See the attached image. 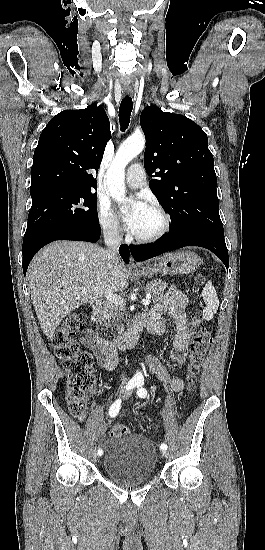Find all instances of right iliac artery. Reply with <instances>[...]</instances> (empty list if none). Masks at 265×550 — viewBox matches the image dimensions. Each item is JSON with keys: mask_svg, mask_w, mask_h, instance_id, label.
Returning a JSON list of instances; mask_svg holds the SVG:
<instances>
[{"mask_svg": "<svg viewBox=\"0 0 265 550\" xmlns=\"http://www.w3.org/2000/svg\"><path fill=\"white\" fill-rule=\"evenodd\" d=\"M137 381H138V378H132V379L127 383V385H126V387H125V388H126V391H129V390L133 389V388L136 386ZM121 402H122V400L119 398V399H117V400L111 405V407H110V409H109V415H110L111 417H115V416L118 414V412H119V410H120V407H121ZM101 453H102V450L99 449V450H98V454H101Z\"/></svg>", "mask_w": 265, "mask_h": 550, "instance_id": "obj_1", "label": "right iliac artery"}]
</instances>
